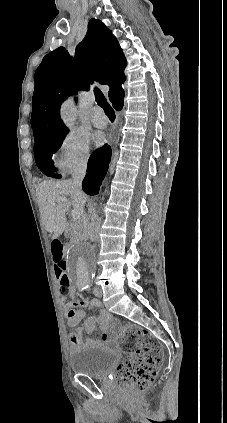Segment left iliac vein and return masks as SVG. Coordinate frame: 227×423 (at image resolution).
Instances as JSON below:
<instances>
[{"label": "left iliac vein", "instance_id": "obj_1", "mask_svg": "<svg viewBox=\"0 0 227 423\" xmlns=\"http://www.w3.org/2000/svg\"><path fill=\"white\" fill-rule=\"evenodd\" d=\"M94 294L96 297L101 298L102 297V291L100 289H95Z\"/></svg>", "mask_w": 227, "mask_h": 423}]
</instances>
